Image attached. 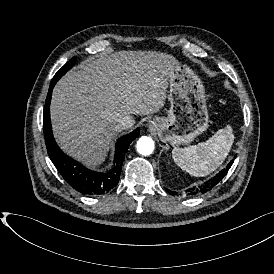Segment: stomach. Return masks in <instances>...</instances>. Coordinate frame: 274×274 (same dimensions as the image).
Returning <instances> with one entry per match:
<instances>
[{
  "mask_svg": "<svg viewBox=\"0 0 274 274\" xmlns=\"http://www.w3.org/2000/svg\"><path fill=\"white\" fill-rule=\"evenodd\" d=\"M169 81L168 117H156L149 121L162 142L179 148L206 131L209 114L204 87L194 72L179 65Z\"/></svg>",
  "mask_w": 274,
  "mask_h": 274,
  "instance_id": "stomach-1",
  "label": "stomach"
}]
</instances>
